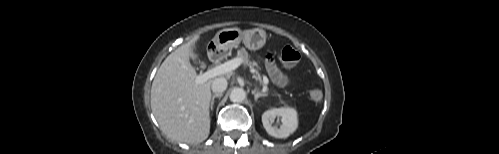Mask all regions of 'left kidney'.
Returning <instances> with one entry per match:
<instances>
[{"label":"left kidney","instance_id":"1","mask_svg":"<svg viewBox=\"0 0 499 154\" xmlns=\"http://www.w3.org/2000/svg\"><path fill=\"white\" fill-rule=\"evenodd\" d=\"M275 118L280 119V127L272 126ZM262 123L269 135L276 138H286L297 129L298 114L291 107L273 108L263 113Z\"/></svg>","mask_w":499,"mask_h":154}]
</instances>
